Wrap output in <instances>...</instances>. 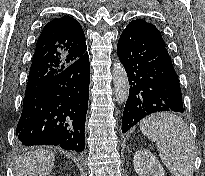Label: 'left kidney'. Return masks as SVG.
I'll use <instances>...</instances> for the list:
<instances>
[{"instance_id":"1","label":"left kidney","mask_w":205,"mask_h":176,"mask_svg":"<svg viewBox=\"0 0 205 176\" xmlns=\"http://www.w3.org/2000/svg\"><path fill=\"white\" fill-rule=\"evenodd\" d=\"M134 169L139 176H164L158 159L148 150H138L134 155Z\"/></svg>"}]
</instances>
